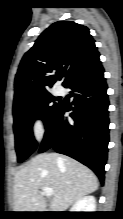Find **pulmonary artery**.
<instances>
[{
  "label": "pulmonary artery",
  "instance_id": "obj_1",
  "mask_svg": "<svg viewBox=\"0 0 123 219\" xmlns=\"http://www.w3.org/2000/svg\"><path fill=\"white\" fill-rule=\"evenodd\" d=\"M56 93H57V94H61V93H62V90H61L60 88H58V89L56 90Z\"/></svg>",
  "mask_w": 123,
  "mask_h": 219
}]
</instances>
